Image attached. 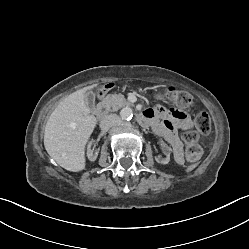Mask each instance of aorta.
Masks as SVG:
<instances>
[{"mask_svg": "<svg viewBox=\"0 0 249 249\" xmlns=\"http://www.w3.org/2000/svg\"><path fill=\"white\" fill-rule=\"evenodd\" d=\"M120 115H121V118L123 120H127L128 121L133 116L132 109L131 108H124V109L121 110Z\"/></svg>", "mask_w": 249, "mask_h": 249, "instance_id": "obj_1", "label": "aorta"}]
</instances>
